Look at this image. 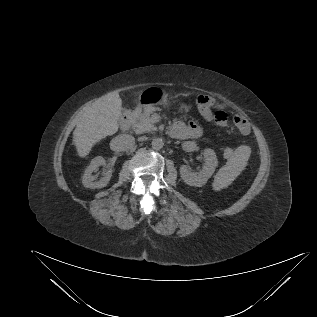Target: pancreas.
<instances>
[{
	"mask_svg": "<svg viewBox=\"0 0 317 317\" xmlns=\"http://www.w3.org/2000/svg\"><path fill=\"white\" fill-rule=\"evenodd\" d=\"M152 107L145 108L143 112H137L132 117V130L136 134H142L144 132H152L157 130V127L151 120Z\"/></svg>",
	"mask_w": 317,
	"mask_h": 317,
	"instance_id": "obj_1",
	"label": "pancreas"
}]
</instances>
